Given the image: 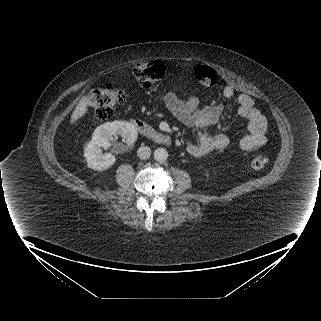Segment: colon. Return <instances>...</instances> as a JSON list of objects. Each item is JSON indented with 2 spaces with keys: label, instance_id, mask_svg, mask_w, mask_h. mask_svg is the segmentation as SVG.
Segmentation results:
<instances>
[{
  "label": "colon",
  "instance_id": "1",
  "mask_svg": "<svg viewBox=\"0 0 321 321\" xmlns=\"http://www.w3.org/2000/svg\"><path fill=\"white\" fill-rule=\"evenodd\" d=\"M166 75V67L161 61H151L137 64L133 69V76L138 83L145 88H152ZM196 79L205 86H214L217 83V72L210 66L200 65L195 69ZM123 90L111 85L95 89L87 97V106L100 120L111 118L118 105L126 98ZM267 159L264 156L255 157L251 161V168L261 170L266 166Z\"/></svg>",
  "mask_w": 321,
  "mask_h": 321
}]
</instances>
